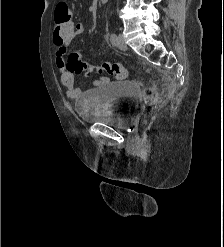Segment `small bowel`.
Wrapping results in <instances>:
<instances>
[{
  "instance_id": "1",
  "label": "small bowel",
  "mask_w": 224,
  "mask_h": 247,
  "mask_svg": "<svg viewBox=\"0 0 224 247\" xmlns=\"http://www.w3.org/2000/svg\"><path fill=\"white\" fill-rule=\"evenodd\" d=\"M85 29V23L79 21L74 23V36L81 34ZM71 39L60 38L57 35H53V44L56 46L55 64L60 73V79L62 85L66 88V95L69 98H76L80 95L81 90L75 86L76 76L73 72L69 71L67 67V47ZM119 64V63H117ZM121 65V64H119ZM108 82L107 77H100L94 84L100 85Z\"/></svg>"
}]
</instances>
